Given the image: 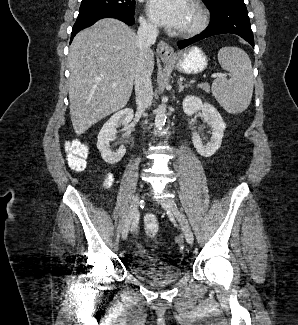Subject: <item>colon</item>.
<instances>
[{"instance_id": "obj_1", "label": "colon", "mask_w": 298, "mask_h": 325, "mask_svg": "<svg viewBox=\"0 0 298 325\" xmlns=\"http://www.w3.org/2000/svg\"><path fill=\"white\" fill-rule=\"evenodd\" d=\"M88 156L87 149L80 147L76 152L70 155V167L77 172L83 171L86 167V159ZM143 229L147 236L154 237L159 230V222L154 215H146L143 220Z\"/></svg>"}]
</instances>
